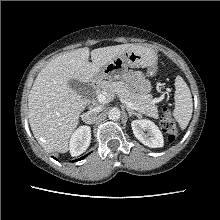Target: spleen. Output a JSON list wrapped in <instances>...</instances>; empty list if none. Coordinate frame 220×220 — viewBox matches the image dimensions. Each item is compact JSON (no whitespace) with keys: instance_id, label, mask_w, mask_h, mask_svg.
<instances>
[{"instance_id":"spleen-1","label":"spleen","mask_w":220,"mask_h":220,"mask_svg":"<svg viewBox=\"0 0 220 220\" xmlns=\"http://www.w3.org/2000/svg\"><path fill=\"white\" fill-rule=\"evenodd\" d=\"M175 109L173 115L181 129H185L191 120L193 102L189 87L181 76L175 79Z\"/></svg>"}]
</instances>
